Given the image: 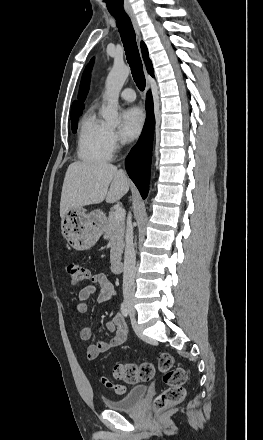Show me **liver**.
<instances>
[{
  "mask_svg": "<svg viewBox=\"0 0 263 440\" xmlns=\"http://www.w3.org/2000/svg\"><path fill=\"white\" fill-rule=\"evenodd\" d=\"M130 180L123 170L107 162L76 161L68 166L65 174L60 216L69 209L99 204L106 200L115 203L129 190Z\"/></svg>",
  "mask_w": 263,
  "mask_h": 440,
  "instance_id": "1",
  "label": "liver"
}]
</instances>
